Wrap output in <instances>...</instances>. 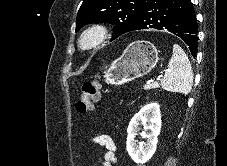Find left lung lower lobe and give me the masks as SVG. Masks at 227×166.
Instances as JSON below:
<instances>
[{
    "instance_id": "1",
    "label": "left lung lower lobe",
    "mask_w": 227,
    "mask_h": 166,
    "mask_svg": "<svg viewBox=\"0 0 227 166\" xmlns=\"http://www.w3.org/2000/svg\"><path fill=\"white\" fill-rule=\"evenodd\" d=\"M158 29L180 37L193 57L197 53V23L191 0H147L134 30Z\"/></svg>"
}]
</instances>
